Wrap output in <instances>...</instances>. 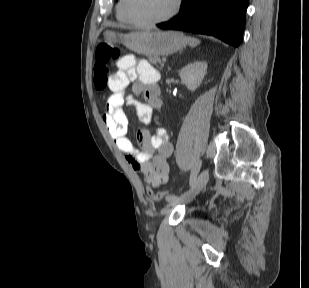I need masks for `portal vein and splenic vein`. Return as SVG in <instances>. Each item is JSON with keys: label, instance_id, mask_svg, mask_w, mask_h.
<instances>
[{"label": "portal vein and splenic vein", "instance_id": "portal-vein-and-splenic-vein-1", "mask_svg": "<svg viewBox=\"0 0 309 288\" xmlns=\"http://www.w3.org/2000/svg\"><path fill=\"white\" fill-rule=\"evenodd\" d=\"M164 62L166 61V59L163 60ZM164 62L161 64L162 66H164Z\"/></svg>", "mask_w": 309, "mask_h": 288}]
</instances>
